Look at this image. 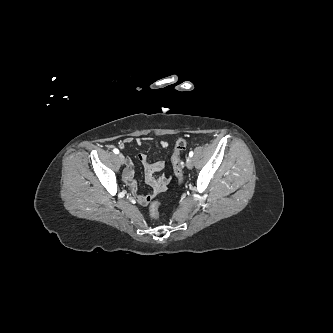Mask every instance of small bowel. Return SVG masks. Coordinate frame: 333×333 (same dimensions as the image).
<instances>
[{
  "mask_svg": "<svg viewBox=\"0 0 333 333\" xmlns=\"http://www.w3.org/2000/svg\"><path fill=\"white\" fill-rule=\"evenodd\" d=\"M134 140L132 137H127L122 143L119 144L120 148H124L125 144L131 143ZM147 138L138 137L135 139L137 145H142ZM160 145L163 148H167L169 143L166 140H161ZM138 159L143 163L145 168V178L148 185L151 187V193L148 195H137V184L134 180V165L133 161L130 158L126 159V168L123 174V179L125 183L129 186L131 191L135 194L136 200L138 204L141 206H147L149 202L159 193L165 191L167 189L169 183V176L162 175L160 177H156L155 174L157 172L162 171L165 168L164 161H156L149 162L147 160L146 155L139 154Z\"/></svg>",
  "mask_w": 333,
  "mask_h": 333,
  "instance_id": "c3829d8e",
  "label": "small bowel"
}]
</instances>
